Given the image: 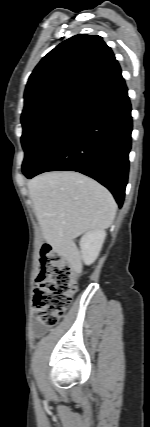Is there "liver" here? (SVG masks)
Listing matches in <instances>:
<instances>
[{"instance_id": "obj_1", "label": "liver", "mask_w": 150, "mask_h": 427, "mask_svg": "<svg viewBox=\"0 0 150 427\" xmlns=\"http://www.w3.org/2000/svg\"><path fill=\"white\" fill-rule=\"evenodd\" d=\"M28 190L44 239L62 256L74 249L76 237L107 229L115 218L112 194L77 172L41 174L28 182Z\"/></svg>"}]
</instances>
